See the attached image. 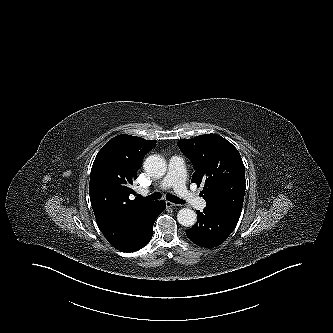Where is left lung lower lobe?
Segmentation results:
<instances>
[{
    "instance_id": "1",
    "label": "left lung lower lobe",
    "mask_w": 333,
    "mask_h": 333,
    "mask_svg": "<svg viewBox=\"0 0 333 333\" xmlns=\"http://www.w3.org/2000/svg\"><path fill=\"white\" fill-rule=\"evenodd\" d=\"M197 212L196 224L186 230L188 238L204 248H213L223 243L235 229L238 220L224 212L206 206Z\"/></svg>"
}]
</instances>
